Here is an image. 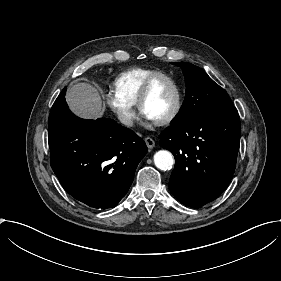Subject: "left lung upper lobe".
Masks as SVG:
<instances>
[{"label": "left lung upper lobe", "instance_id": "5c2ea615", "mask_svg": "<svg viewBox=\"0 0 281 281\" xmlns=\"http://www.w3.org/2000/svg\"><path fill=\"white\" fill-rule=\"evenodd\" d=\"M172 64L183 70L186 94L183 105L171 125L196 116L234 107L226 91L216 84L204 70L191 63L173 62Z\"/></svg>", "mask_w": 281, "mask_h": 281}]
</instances>
